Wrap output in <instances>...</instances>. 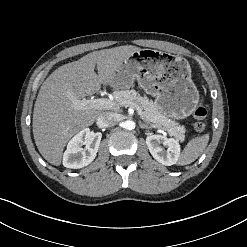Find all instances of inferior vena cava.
I'll return each instance as SVG.
<instances>
[{
    "label": "inferior vena cava",
    "mask_w": 247,
    "mask_h": 247,
    "mask_svg": "<svg viewBox=\"0 0 247 247\" xmlns=\"http://www.w3.org/2000/svg\"><path fill=\"white\" fill-rule=\"evenodd\" d=\"M119 120L118 114L113 112H103L97 117V125L100 128L113 126Z\"/></svg>",
    "instance_id": "602c4592"
}]
</instances>
